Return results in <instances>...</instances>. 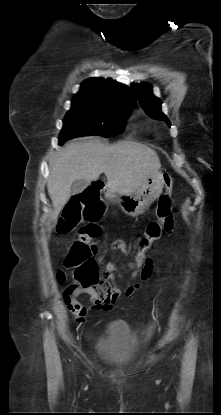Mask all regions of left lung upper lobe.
<instances>
[{"instance_id": "5c2ea615", "label": "left lung upper lobe", "mask_w": 221, "mask_h": 415, "mask_svg": "<svg viewBox=\"0 0 221 415\" xmlns=\"http://www.w3.org/2000/svg\"><path fill=\"white\" fill-rule=\"evenodd\" d=\"M131 89L134 96L137 98L140 105L145 109L148 115L152 118L165 121L170 127L168 118L161 111V101L153 95L149 84H133Z\"/></svg>"}]
</instances>
